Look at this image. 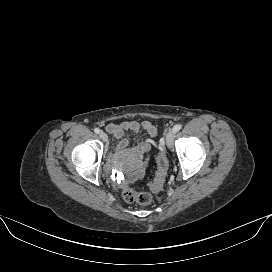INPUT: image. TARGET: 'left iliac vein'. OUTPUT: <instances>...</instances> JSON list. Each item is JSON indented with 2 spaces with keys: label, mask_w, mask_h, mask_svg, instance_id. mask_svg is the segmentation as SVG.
<instances>
[{
  "label": "left iliac vein",
  "mask_w": 272,
  "mask_h": 272,
  "mask_svg": "<svg viewBox=\"0 0 272 272\" xmlns=\"http://www.w3.org/2000/svg\"><path fill=\"white\" fill-rule=\"evenodd\" d=\"M174 137H175V132L173 130H170L166 135V144L169 148L173 146Z\"/></svg>",
  "instance_id": "1"
}]
</instances>
